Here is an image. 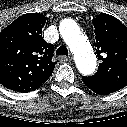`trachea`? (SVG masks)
<instances>
[{
  "mask_svg": "<svg viewBox=\"0 0 127 127\" xmlns=\"http://www.w3.org/2000/svg\"><path fill=\"white\" fill-rule=\"evenodd\" d=\"M56 55H65L68 56V49L66 48V46H60L57 50H56Z\"/></svg>",
  "mask_w": 127,
  "mask_h": 127,
  "instance_id": "1",
  "label": "trachea"
}]
</instances>
